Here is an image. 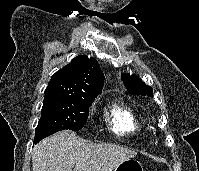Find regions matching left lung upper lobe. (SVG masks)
Returning <instances> with one entry per match:
<instances>
[{"instance_id": "1", "label": "left lung upper lobe", "mask_w": 199, "mask_h": 171, "mask_svg": "<svg viewBox=\"0 0 199 171\" xmlns=\"http://www.w3.org/2000/svg\"><path fill=\"white\" fill-rule=\"evenodd\" d=\"M124 83L127 89L135 95L153 96V90L150 86L146 85L138 76L124 75Z\"/></svg>"}]
</instances>
